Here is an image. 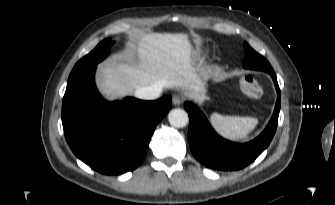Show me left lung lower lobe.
<instances>
[{
  "label": "left lung lower lobe",
  "mask_w": 335,
  "mask_h": 205,
  "mask_svg": "<svg viewBox=\"0 0 335 205\" xmlns=\"http://www.w3.org/2000/svg\"><path fill=\"white\" fill-rule=\"evenodd\" d=\"M267 73L271 75L277 92L275 109L265 130L248 143H234L223 139L214 131L197 106L191 102L185 103V109L189 113L190 150L206 167L223 171L242 169L253 162L270 144L278 125L281 92L274 71Z\"/></svg>",
  "instance_id": "0a47b994"
}]
</instances>
